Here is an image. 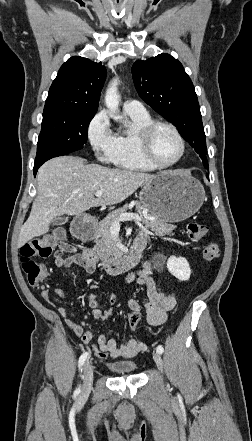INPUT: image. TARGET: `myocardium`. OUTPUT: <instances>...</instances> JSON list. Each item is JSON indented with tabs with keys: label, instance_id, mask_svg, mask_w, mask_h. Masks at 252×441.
Returning <instances> with one entry per match:
<instances>
[{
	"label": "myocardium",
	"instance_id": "1",
	"mask_svg": "<svg viewBox=\"0 0 252 441\" xmlns=\"http://www.w3.org/2000/svg\"><path fill=\"white\" fill-rule=\"evenodd\" d=\"M160 127L170 129L175 134L181 145V152L179 156L169 163H160L153 154L152 139L156 130ZM138 144L143 158L156 169H166L176 165L184 158L186 153V141L184 137L174 124L167 121H152L148 125L144 126L138 133Z\"/></svg>",
	"mask_w": 252,
	"mask_h": 441
}]
</instances>
